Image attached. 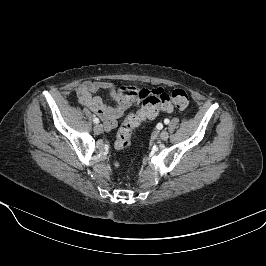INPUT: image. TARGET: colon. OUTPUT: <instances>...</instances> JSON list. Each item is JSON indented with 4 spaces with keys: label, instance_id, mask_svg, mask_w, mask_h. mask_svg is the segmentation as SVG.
Returning a JSON list of instances; mask_svg holds the SVG:
<instances>
[{
    "label": "colon",
    "instance_id": "obj_1",
    "mask_svg": "<svg viewBox=\"0 0 266 266\" xmlns=\"http://www.w3.org/2000/svg\"><path fill=\"white\" fill-rule=\"evenodd\" d=\"M189 105V97L185 90L174 89L171 92L163 90L147 93L142 98L141 108L130 115L120 126L115 147L119 150L127 149L130 146L132 131L146 119L154 118L160 111H171L174 108L185 109ZM118 167V163L114 164Z\"/></svg>",
    "mask_w": 266,
    "mask_h": 266
}]
</instances>
